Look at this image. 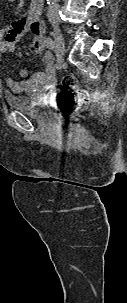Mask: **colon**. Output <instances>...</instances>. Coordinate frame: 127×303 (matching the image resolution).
<instances>
[{
  "mask_svg": "<svg viewBox=\"0 0 127 303\" xmlns=\"http://www.w3.org/2000/svg\"><path fill=\"white\" fill-rule=\"evenodd\" d=\"M62 85L65 88L72 90V92H65L61 95L64 108L67 111L74 110L77 104L80 106L86 105L88 102L87 91L78 85L77 80L73 75L68 74L64 76Z\"/></svg>",
  "mask_w": 127,
  "mask_h": 303,
  "instance_id": "colon-1",
  "label": "colon"
}]
</instances>
